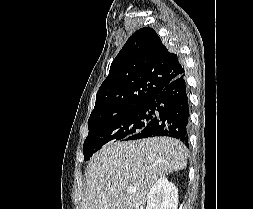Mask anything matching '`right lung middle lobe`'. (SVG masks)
Masks as SVG:
<instances>
[{"label":"right lung middle lobe","mask_w":253,"mask_h":209,"mask_svg":"<svg viewBox=\"0 0 253 209\" xmlns=\"http://www.w3.org/2000/svg\"><path fill=\"white\" fill-rule=\"evenodd\" d=\"M153 116L150 105L143 104L115 115L88 120L89 133L83 145L84 160H89L107 143L128 140L138 134Z\"/></svg>","instance_id":"right-lung-middle-lobe-1"}]
</instances>
